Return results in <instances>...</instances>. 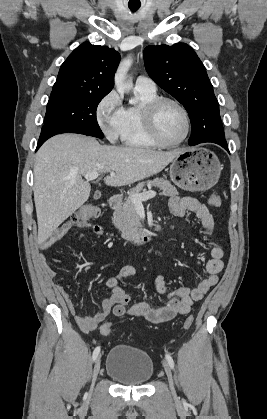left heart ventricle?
Listing matches in <instances>:
<instances>
[{
    "instance_id": "1",
    "label": "left heart ventricle",
    "mask_w": 267,
    "mask_h": 419,
    "mask_svg": "<svg viewBox=\"0 0 267 419\" xmlns=\"http://www.w3.org/2000/svg\"><path fill=\"white\" fill-rule=\"evenodd\" d=\"M157 128L167 142L181 139L185 132V121L179 108L171 103L163 104L157 113Z\"/></svg>"
}]
</instances>
